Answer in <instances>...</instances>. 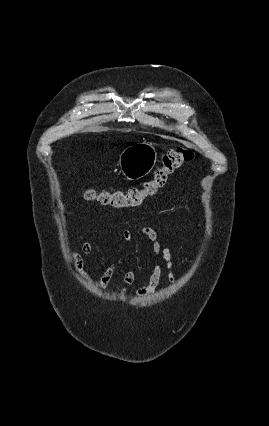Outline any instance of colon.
<instances>
[{
    "mask_svg": "<svg viewBox=\"0 0 269 426\" xmlns=\"http://www.w3.org/2000/svg\"><path fill=\"white\" fill-rule=\"evenodd\" d=\"M193 157V152L188 149L170 150L162 156L161 163L154 169L151 178L145 180L140 186L113 191L89 189L85 192V197L100 205L113 208L138 206L145 199L154 196L165 185L168 177L192 161Z\"/></svg>",
    "mask_w": 269,
    "mask_h": 426,
    "instance_id": "obj_1",
    "label": "colon"
}]
</instances>
